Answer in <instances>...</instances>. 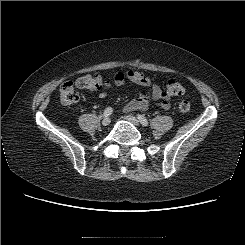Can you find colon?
I'll return each instance as SVG.
<instances>
[{
  "label": "colon",
  "instance_id": "1",
  "mask_svg": "<svg viewBox=\"0 0 245 245\" xmlns=\"http://www.w3.org/2000/svg\"><path fill=\"white\" fill-rule=\"evenodd\" d=\"M104 80L99 74H85L79 77L75 82L68 81L60 87L59 101L63 106H70L77 102L79 93L77 89L89 91L101 90L104 87ZM166 93L170 96H181L185 92L184 86L176 80L170 79L165 84ZM191 105L184 100L179 103V109L182 112H188Z\"/></svg>",
  "mask_w": 245,
  "mask_h": 245
}]
</instances>
